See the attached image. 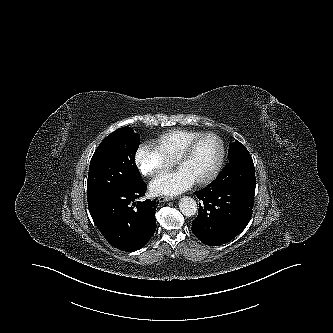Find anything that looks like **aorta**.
<instances>
[{
  "instance_id": "1",
  "label": "aorta",
  "mask_w": 333,
  "mask_h": 333,
  "mask_svg": "<svg viewBox=\"0 0 333 333\" xmlns=\"http://www.w3.org/2000/svg\"><path fill=\"white\" fill-rule=\"evenodd\" d=\"M179 209L187 217L194 216L197 212L196 201L188 196H184L179 201Z\"/></svg>"
}]
</instances>
